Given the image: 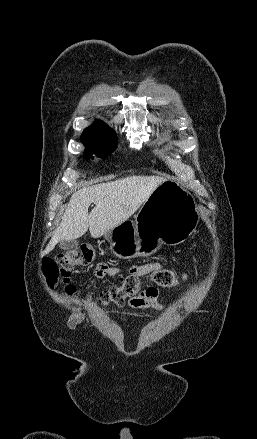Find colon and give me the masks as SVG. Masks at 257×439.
<instances>
[{
	"label": "colon",
	"instance_id": "1",
	"mask_svg": "<svg viewBox=\"0 0 257 439\" xmlns=\"http://www.w3.org/2000/svg\"><path fill=\"white\" fill-rule=\"evenodd\" d=\"M96 258V251L92 246L85 245L74 250L57 254L54 258H47L42 263L47 282L54 285L61 281L64 286V292L68 296L76 294V287L71 282L70 275L75 267L91 264ZM149 279L157 285L171 287L180 284L186 278V275L178 276L171 270L160 269L154 271ZM143 291L138 277L129 275L109 289L103 291L98 296L101 304H115L122 306L126 299L136 297Z\"/></svg>",
	"mask_w": 257,
	"mask_h": 439
}]
</instances>
